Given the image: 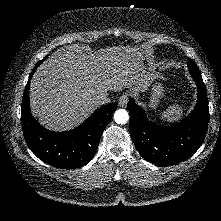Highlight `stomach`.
Returning a JSON list of instances; mask_svg holds the SVG:
<instances>
[{"label": "stomach", "mask_w": 221, "mask_h": 221, "mask_svg": "<svg viewBox=\"0 0 221 221\" xmlns=\"http://www.w3.org/2000/svg\"><path fill=\"white\" fill-rule=\"evenodd\" d=\"M164 86L161 82V76H156L152 82L150 96L148 100V107L150 109H156L160 104L161 99L164 97Z\"/></svg>", "instance_id": "0dacf381"}]
</instances>
